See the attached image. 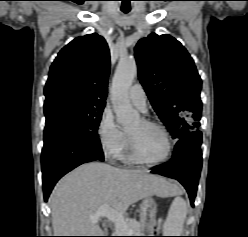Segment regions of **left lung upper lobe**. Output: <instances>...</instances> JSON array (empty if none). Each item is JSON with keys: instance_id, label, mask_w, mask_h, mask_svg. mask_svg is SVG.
Wrapping results in <instances>:
<instances>
[{"instance_id": "obj_1", "label": "left lung upper lobe", "mask_w": 248, "mask_h": 237, "mask_svg": "<svg viewBox=\"0 0 248 237\" xmlns=\"http://www.w3.org/2000/svg\"><path fill=\"white\" fill-rule=\"evenodd\" d=\"M138 75L155 112L173 138L200 126L201 78L194 61L174 37L155 33L135 47Z\"/></svg>"}]
</instances>
